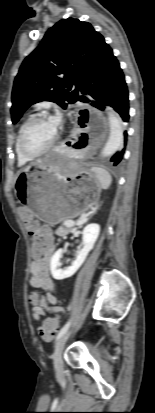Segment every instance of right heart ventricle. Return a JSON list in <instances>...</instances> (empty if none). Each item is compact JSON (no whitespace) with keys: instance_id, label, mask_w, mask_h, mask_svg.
<instances>
[{"instance_id":"obj_1","label":"right heart ventricle","mask_w":155,"mask_h":413,"mask_svg":"<svg viewBox=\"0 0 155 413\" xmlns=\"http://www.w3.org/2000/svg\"><path fill=\"white\" fill-rule=\"evenodd\" d=\"M27 121V119H25L19 126L17 134H16V138H15V152H16V157H17V161L19 165H24L26 163H28L31 159L25 157L19 148V134H20V130L23 126V124Z\"/></svg>"}]
</instances>
